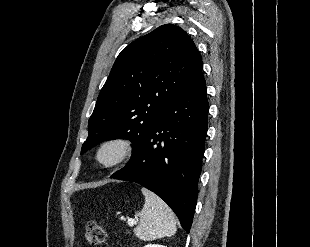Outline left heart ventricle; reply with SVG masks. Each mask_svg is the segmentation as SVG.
Returning a JSON list of instances; mask_svg holds the SVG:
<instances>
[{"label": "left heart ventricle", "instance_id": "left-heart-ventricle-1", "mask_svg": "<svg viewBox=\"0 0 310 247\" xmlns=\"http://www.w3.org/2000/svg\"><path fill=\"white\" fill-rule=\"evenodd\" d=\"M117 156V151L114 148H108L102 152V160L105 162L112 161Z\"/></svg>", "mask_w": 310, "mask_h": 247}]
</instances>
